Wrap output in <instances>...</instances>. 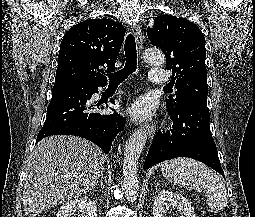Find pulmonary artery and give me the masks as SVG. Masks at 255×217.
Wrapping results in <instances>:
<instances>
[{
	"label": "pulmonary artery",
	"instance_id": "e3ab8cb5",
	"mask_svg": "<svg viewBox=\"0 0 255 217\" xmlns=\"http://www.w3.org/2000/svg\"><path fill=\"white\" fill-rule=\"evenodd\" d=\"M149 79L156 84H166L169 80L167 73L162 72L161 69H152L149 73Z\"/></svg>",
	"mask_w": 255,
	"mask_h": 217
}]
</instances>
